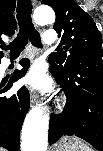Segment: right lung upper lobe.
I'll list each match as a JSON object with an SVG mask.
<instances>
[{
	"label": "right lung upper lobe",
	"mask_w": 103,
	"mask_h": 151,
	"mask_svg": "<svg viewBox=\"0 0 103 151\" xmlns=\"http://www.w3.org/2000/svg\"><path fill=\"white\" fill-rule=\"evenodd\" d=\"M15 4V0H0V41L2 35L11 36L15 33Z\"/></svg>",
	"instance_id": "cb5924a9"
}]
</instances>
